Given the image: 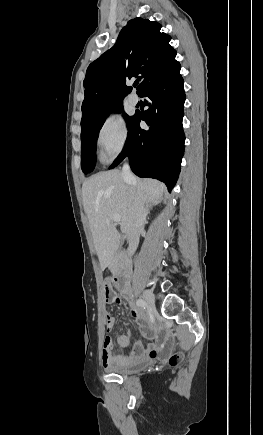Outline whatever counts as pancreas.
<instances>
[{"instance_id":"cf45deb5","label":"pancreas","mask_w":263,"mask_h":435,"mask_svg":"<svg viewBox=\"0 0 263 435\" xmlns=\"http://www.w3.org/2000/svg\"><path fill=\"white\" fill-rule=\"evenodd\" d=\"M119 266V261L117 259H115L111 265V269L112 270H116Z\"/></svg>"}]
</instances>
